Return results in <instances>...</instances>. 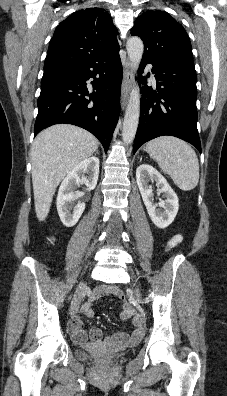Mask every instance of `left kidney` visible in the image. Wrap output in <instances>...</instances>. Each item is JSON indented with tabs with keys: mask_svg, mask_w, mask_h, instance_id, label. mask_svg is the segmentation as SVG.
Segmentation results:
<instances>
[{
	"mask_svg": "<svg viewBox=\"0 0 227 396\" xmlns=\"http://www.w3.org/2000/svg\"><path fill=\"white\" fill-rule=\"evenodd\" d=\"M136 181L152 222L161 229L168 227L174 221L179 204L178 197L167 180L154 167L142 164L136 169ZM149 181L156 182L160 187L158 192L163 193L165 200L154 204L153 189L148 185Z\"/></svg>",
	"mask_w": 227,
	"mask_h": 396,
	"instance_id": "obj_1",
	"label": "left kidney"
}]
</instances>
